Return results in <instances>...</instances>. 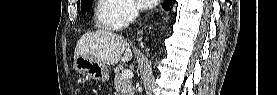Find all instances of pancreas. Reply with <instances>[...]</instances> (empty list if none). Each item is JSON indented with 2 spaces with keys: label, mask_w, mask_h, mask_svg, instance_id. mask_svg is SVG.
<instances>
[{
  "label": "pancreas",
  "mask_w": 277,
  "mask_h": 95,
  "mask_svg": "<svg viewBox=\"0 0 277 95\" xmlns=\"http://www.w3.org/2000/svg\"><path fill=\"white\" fill-rule=\"evenodd\" d=\"M114 87L118 95H133L134 87L130 79L123 78L119 73L115 74Z\"/></svg>",
  "instance_id": "obj_1"
}]
</instances>
